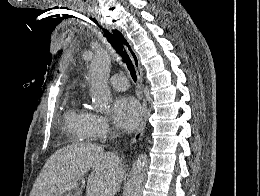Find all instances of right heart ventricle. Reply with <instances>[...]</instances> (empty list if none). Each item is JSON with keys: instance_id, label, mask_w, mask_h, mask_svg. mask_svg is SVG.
<instances>
[{"instance_id": "obj_1", "label": "right heart ventricle", "mask_w": 260, "mask_h": 196, "mask_svg": "<svg viewBox=\"0 0 260 196\" xmlns=\"http://www.w3.org/2000/svg\"><path fill=\"white\" fill-rule=\"evenodd\" d=\"M90 112L84 106L82 101H77L73 108L65 116L66 123L70 128L77 130L89 129ZM79 143H93L92 139L82 138ZM50 192H59V190H50Z\"/></svg>"}]
</instances>
